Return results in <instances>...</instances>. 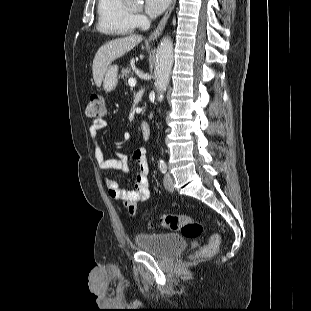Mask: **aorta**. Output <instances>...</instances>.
<instances>
[{"instance_id":"aorta-1","label":"aorta","mask_w":311,"mask_h":311,"mask_svg":"<svg viewBox=\"0 0 311 311\" xmlns=\"http://www.w3.org/2000/svg\"><path fill=\"white\" fill-rule=\"evenodd\" d=\"M173 59V42L171 39L165 37L161 40L156 52L154 74L158 99L163 98V93L169 85Z\"/></svg>"}]
</instances>
